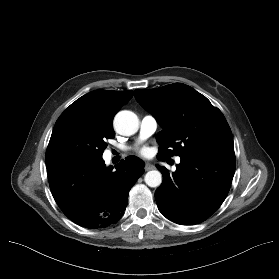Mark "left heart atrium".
Instances as JSON below:
<instances>
[{"instance_id":"1","label":"left heart atrium","mask_w":279,"mask_h":279,"mask_svg":"<svg viewBox=\"0 0 279 279\" xmlns=\"http://www.w3.org/2000/svg\"><path fill=\"white\" fill-rule=\"evenodd\" d=\"M139 153L142 155V156H148L149 155V150L148 148L144 147V148H141L139 150Z\"/></svg>"}]
</instances>
